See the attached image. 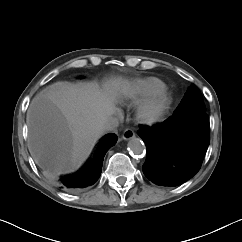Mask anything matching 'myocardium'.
<instances>
[{
	"instance_id": "f54148a6",
	"label": "myocardium",
	"mask_w": 242,
	"mask_h": 242,
	"mask_svg": "<svg viewBox=\"0 0 242 242\" xmlns=\"http://www.w3.org/2000/svg\"><path fill=\"white\" fill-rule=\"evenodd\" d=\"M172 101V96L167 90L151 96L141 103L136 110L138 121L146 125H154L159 122Z\"/></svg>"
}]
</instances>
